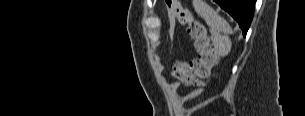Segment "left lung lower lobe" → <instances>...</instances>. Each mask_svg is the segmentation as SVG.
<instances>
[{
	"label": "left lung lower lobe",
	"instance_id": "left-lung-lower-lobe-1",
	"mask_svg": "<svg viewBox=\"0 0 305 116\" xmlns=\"http://www.w3.org/2000/svg\"><path fill=\"white\" fill-rule=\"evenodd\" d=\"M227 11L239 24L245 37L254 14L256 0H214Z\"/></svg>",
	"mask_w": 305,
	"mask_h": 116
}]
</instances>
